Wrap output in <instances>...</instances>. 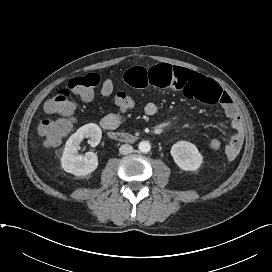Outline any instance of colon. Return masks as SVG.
<instances>
[{"instance_id":"5ec220e1","label":"colon","mask_w":272,"mask_h":272,"mask_svg":"<svg viewBox=\"0 0 272 272\" xmlns=\"http://www.w3.org/2000/svg\"><path fill=\"white\" fill-rule=\"evenodd\" d=\"M100 81V77L93 73L75 77L46 101L44 109L50 116L44 118L38 126V133L45 145L50 147L58 145L73 126L75 106L72 102V94H78L82 99L89 100ZM102 93L106 96L114 93V85L111 81L103 82ZM114 103L121 112L125 113L136 107L137 100L132 94L119 91L115 93ZM209 147L212 150H220L222 142L213 138L209 141Z\"/></svg>"}]
</instances>
